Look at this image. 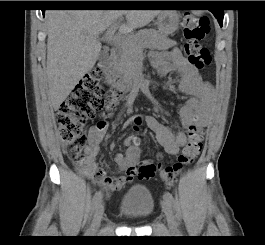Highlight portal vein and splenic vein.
I'll return each instance as SVG.
<instances>
[{
  "label": "portal vein and splenic vein",
  "mask_w": 265,
  "mask_h": 245,
  "mask_svg": "<svg viewBox=\"0 0 265 245\" xmlns=\"http://www.w3.org/2000/svg\"><path fill=\"white\" fill-rule=\"evenodd\" d=\"M118 24L112 25L105 33L103 39L108 43L126 45L129 43V38H127L124 33L116 34Z\"/></svg>",
  "instance_id": "obj_1"
}]
</instances>
